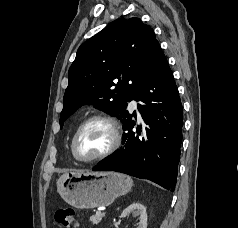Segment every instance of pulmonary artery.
Here are the masks:
<instances>
[{
  "label": "pulmonary artery",
  "instance_id": "pulmonary-artery-1",
  "mask_svg": "<svg viewBox=\"0 0 238 228\" xmlns=\"http://www.w3.org/2000/svg\"><path fill=\"white\" fill-rule=\"evenodd\" d=\"M130 109L131 110H135L138 111V106H137V102L135 100L130 102Z\"/></svg>",
  "mask_w": 238,
  "mask_h": 228
}]
</instances>
